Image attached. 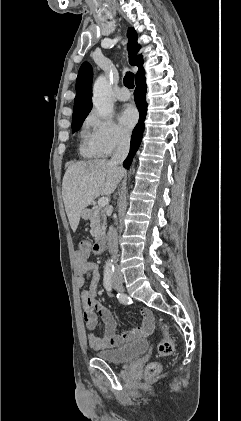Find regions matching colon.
Returning a JSON list of instances; mask_svg holds the SVG:
<instances>
[{"label":"colon","mask_w":241,"mask_h":421,"mask_svg":"<svg viewBox=\"0 0 241 421\" xmlns=\"http://www.w3.org/2000/svg\"><path fill=\"white\" fill-rule=\"evenodd\" d=\"M78 252L83 256H89L92 252H94L93 244H91L87 240H83L79 243V250ZM158 327L162 332L161 341L158 344L157 350L158 353L165 357L169 356L174 351V343L169 334V329L166 324L161 321H158ZM161 369V366L157 362H152L147 366V374L149 376L156 375Z\"/></svg>","instance_id":"obj_1"}]
</instances>
